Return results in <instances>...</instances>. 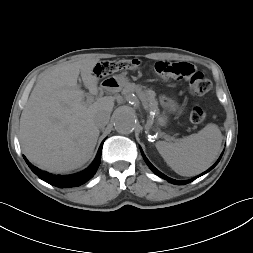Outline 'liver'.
<instances>
[{
	"instance_id": "1",
	"label": "liver",
	"mask_w": 253,
	"mask_h": 253,
	"mask_svg": "<svg viewBox=\"0 0 253 253\" xmlns=\"http://www.w3.org/2000/svg\"><path fill=\"white\" fill-rule=\"evenodd\" d=\"M98 59L60 65L45 74L33 88L20 118V142L28 159L40 168L65 172L85 164L99 137L95 117L114 107L113 96L84 102L78 87L81 75L91 94H98L93 69Z\"/></svg>"
}]
</instances>
